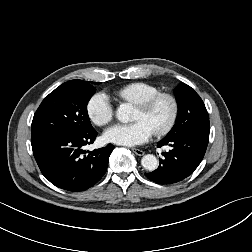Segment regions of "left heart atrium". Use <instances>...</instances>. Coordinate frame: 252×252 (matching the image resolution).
Returning a JSON list of instances; mask_svg holds the SVG:
<instances>
[{"label": "left heart atrium", "mask_w": 252, "mask_h": 252, "mask_svg": "<svg viewBox=\"0 0 252 252\" xmlns=\"http://www.w3.org/2000/svg\"><path fill=\"white\" fill-rule=\"evenodd\" d=\"M154 134L153 127L145 120L130 124H115L104 133V139L113 144L135 146L147 142Z\"/></svg>", "instance_id": "1"}]
</instances>
